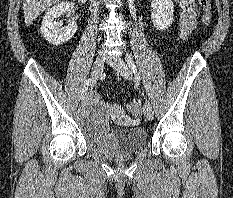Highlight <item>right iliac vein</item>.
Returning <instances> with one entry per match:
<instances>
[{
	"mask_svg": "<svg viewBox=\"0 0 233 198\" xmlns=\"http://www.w3.org/2000/svg\"><path fill=\"white\" fill-rule=\"evenodd\" d=\"M105 61H106V55L102 52L99 53L94 64H93V67H92V71H91L92 84L91 85H94V83L97 81L98 77L101 75L103 68H104ZM91 99H92V96L89 93L85 97V99H83L81 107L82 108L87 107L90 104Z\"/></svg>",
	"mask_w": 233,
	"mask_h": 198,
	"instance_id": "obj_1",
	"label": "right iliac vein"
}]
</instances>
